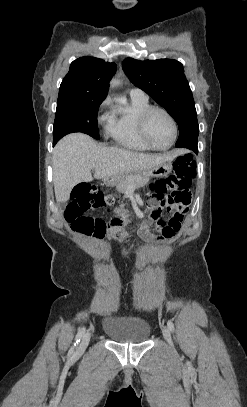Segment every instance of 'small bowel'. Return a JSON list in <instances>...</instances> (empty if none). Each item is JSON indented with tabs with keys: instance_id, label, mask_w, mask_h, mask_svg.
<instances>
[{
	"instance_id": "1",
	"label": "small bowel",
	"mask_w": 247,
	"mask_h": 407,
	"mask_svg": "<svg viewBox=\"0 0 247 407\" xmlns=\"http://www.w3.org/2000/svg\"><path fill=\"white\" fill-rule=\"evenodd\" d=\"M165 211L168 218H163ZM187 211L188 204H176L162 195H152L147 200L146 218L140 223V234L153 237L159 242L168 241L180 231ZM124 235L120 224L114 223L107 237L115 240Z\"/></svg>"
}]
</instances>
